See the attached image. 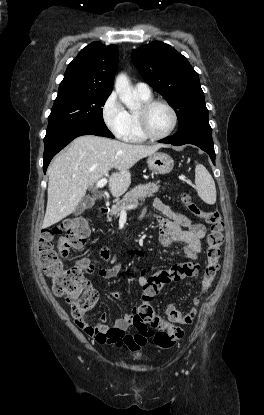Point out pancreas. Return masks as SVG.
<instances>
[{
	"label": "pancreas",
	"instance_id": "pancreas-1",
	"mask_svg": "<svg viewBox=\"0 0 264 415\" xmlns=\"http://www.w3.org/2000/svg\"><path fill=\"white\" fill-rule=\"evenodd\" d=\"M159 187V182H156L142 184L131 189L121 200H118L116 204L112 206L110 217H107L108 220H111V217L113 216L118 217L121 214V210L125 209L127 206L137 205L139 200L144 201L146 197H152L154 193L158 192Z\"/></svg>",
	"mask_w": 264,
	"mask_h": 415
}]
</instances>
